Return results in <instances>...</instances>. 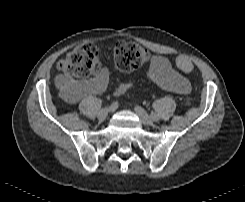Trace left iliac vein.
<instances>
[{"mask_svg": "<svg viewBox=\"0 0 245 202\" xmlns=\"http://www.w3.org/2000/svg\"><path fill=\"white\" fill-rule=\"evenodd\" d=\"M135 112L138 115V117L140 118V120L142 121L143 124L145 125H152L154 122V119L152 117H150L146 111L139 107V106H135Z\"/></svg>", "mask_w": 245, "mask_h": 202, "instance_id": "left-iliac-vein-1", "label": "left iliac vein"}]
</instances>
